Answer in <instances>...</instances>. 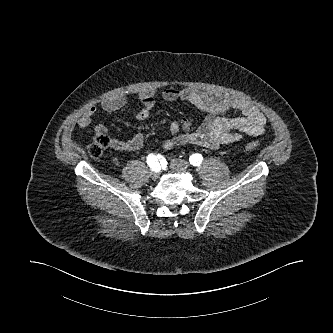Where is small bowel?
<instances>
[{"label": "small bowel", "mask_w": 333, "mask_h": 333, "mask_svg": "<svg viewBox=\"0 0 333 333\" xmlns=\"http://www.w3.org/2000/svg\"><path fill=\"white\" fill-rule=\"evenodd\" d=\"M164 100L168 102L186 101L206 113L203 123L192 129L187 118L175 121L170 125V136L162 141L164 148L193 144L203 148L216 149L221 145L240 141L244 136L259 137L265 133V115L249 101L235 96L219 93H205L185 87H166L161 91ZM156 91L144 90L137 94L142 108L137 113L138 121L146 120L155 106ZM124 96H113L103 99L100 107L106 112H113L125 106ZM236 110L238 116H227L226 112ZM97 109L92 106L77 124L81 128L90 125ZM104 133L99 126L96 134ZM144 144V136L135 133L127 139H110V146L116 151H136Z\"/></svg>", "instance_id": "small-bowel-1"}]
</instances>
